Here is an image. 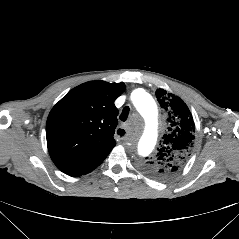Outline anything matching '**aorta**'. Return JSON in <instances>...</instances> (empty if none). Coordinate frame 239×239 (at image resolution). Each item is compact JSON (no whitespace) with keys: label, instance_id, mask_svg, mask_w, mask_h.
Listing matches in <instances>:
<instances>
[{"label":"aorta","instance_id":"obj_1","mask_svg":"<svg viewBox=\"0 0 239 239\" xmlns=\"http://www.w3.org/2000/svg\"><path fill=\"white\" fill-rule=\"evenodd\" d=\"M131 100L146 123L142 131L141 140L135 144V150L138 155L145 157L153 150L156 134L159 130L156 122L158 114L157 105L152 96L143 89L134 90L131 94Z\"/></svg>","mask_w":239,"mask_h":239}]
</instances>
